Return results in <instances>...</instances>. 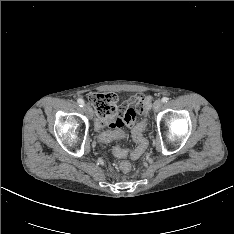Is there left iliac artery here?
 Returning a JSON list of instances; mask_svg holds the SVG:
<instances>
[{
	"label": "left iliac artery",
	"instance_id": "left-iliac-artery-1",
	"mask_svg": "<svg viewBox=\"0 0 234 234\" xmlns=\"http://www.w3.org/2000/svg\"><path fill=\"white\" fill-rule=\"evenodd\" d=\"M168 100H169V98H167V97H163V98H162V102H163V103H166Z\"/></svg>",
	"mask_w": 234,
	"mask_h": 234
}]
</instances>
